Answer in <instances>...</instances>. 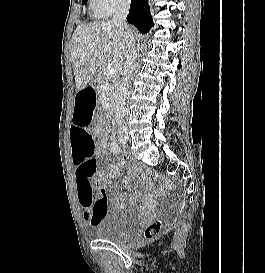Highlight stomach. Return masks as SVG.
Returning a JSON list of instances; mask_svg holds the SVG:
<instances>
[{
	"instance_id": "0dacf381",
	"label": "stomach",
	"mask_w": 265,
	"mask_h": 273,
	"mask_svg": "<svg viewBox=\"0 0 265 273\" xmlns=\"http://www.w3.org/2000/svg\"><path fill=\"white\" fill-rule=\"evenodd\" d=\"M81 90H92V85H81Z\"/></svg>"
}]
</instances>
